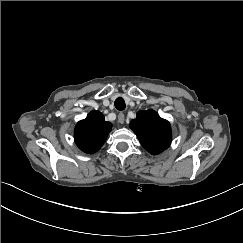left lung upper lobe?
<instances>
[{"instance_id": "obj_1", "label": "left lung upper lobe", "mask_w": 243, "mask_h": 243, "mask_svg": "<svg viewBox=\"0 0 243 243\" xmlns=\"http://www.w3.org/2000/svg\"><path fill=\"white\" fill-rule=\"evenodd\" d=\"M130 128L137 135L142 146L151 154L157 155L169 147L172 141L171 127L152 109L141 110Z\"/></svg>"}]
</instances>
